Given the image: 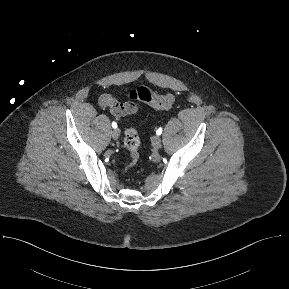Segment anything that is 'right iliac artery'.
<instances>
[{
	"label": "right iliac artery",
	"mask_w": 289,
	"mask_h": 289,
	"mask_svg": "<svg viewBox=\"0 0 289 289\" xmlns=\"http://www.w3.org/2000/svg\"><path fill=\"white\" fill-rule=\"evenodd\" d=\"M112 127L115 129L117 128V123L116 122H112Z\"/></svg>",
	"instance_id": "obj_1"
}]
</instances>
